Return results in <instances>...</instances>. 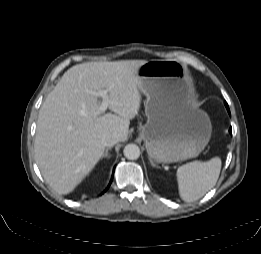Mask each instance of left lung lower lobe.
<instances>
[{
  "mask_svg": "<svg viewBox=\"0 0 261 254\" xmlns=\"http://www.w3.org/2000/svg\"><path fill=\"white\" fill-rule=\"evenodd\" d=\"M229 113H230V112H229ZM229 131H230V133H232V129H231V128H230V130H229Z\"/></svg>",
  "mask_w": 261,
  "mask_h": 254,
  "instance_id": "1",
  "label": "left lung lower lobe"
}]
</instances>
